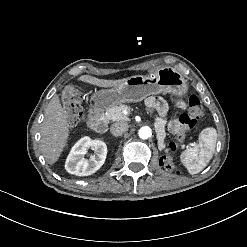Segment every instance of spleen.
<instances>
[{
  "label": "spleen",
  "instance_id": "obj_1",
  "mask_svg": "<svg viewBox=\"0 0 247 247\" xmlns=\"http://www.w3.org/2000/svg\"><path fill=\"white\" fill-rule=\"evenodd\" d=\"M216 141V129L208 127L201 132L199 144L196 147L187 149L183 152V163L191 174L201 172L208 165L213 156Z\"/></svg>",
  "mask_w": 247,
  "mask_h": 247
}]
</instances>
